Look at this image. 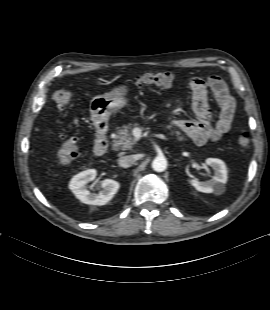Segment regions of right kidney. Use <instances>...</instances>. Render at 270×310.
<instances>
[{
  "mask_svg": "<svg viewBox=\"0 0 270 310\" xmlns=\"http://www.w3.org/2000/svg\"><path fill=\"white\" fill-rule=\"evenodd\" d=\"M97 175L95 169H88L75 175L70 183L69 188L73 194L81 202L90 205H105L109 202L118 191L120 185L112 179H105L101 182V190L98 194L90 193L87 189V184L93 181Z\"/></svg>",
  "mask_w": 270,
  "mask_h": 310,
  "instance_id": "ca27d5eb",
  "label": "right kidney"
}]
</instances>
